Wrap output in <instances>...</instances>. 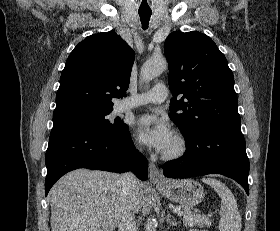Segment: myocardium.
Instances as JSON below:
<instances>
[{"label":"myocardium","mask_w":280,"mask_h":231,"mask_svg":"<svg viewBox=\"0 0 280 231\" xmlns=\"http://www.w3.org/2000/svg\"><path fill=\"white\" fill-rule=\"evenodd\" d=\"M188 150V141L185 136L177 135L174 139L173 146L163 155L165 160H176L184 156Z\"/></svg>","instance_id":"myocardium-1"}]
</instances>
